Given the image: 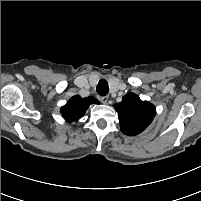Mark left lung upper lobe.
<instances>
[{"label": "left lung upper lobe", "instance_id": "left-lung-upper-lobe-1", "mask_svg": "<svg viewBox=\"0 0 201 201\" xmlns=\"http://www.w3.org/2000/svg\"><path fill=\"white\" fill-rule=\"evenodd\" d=\"M121 131L125 135L134 136L144 131L156 114L153 104L142 101L134 93H128L120 103L115 105Z\"/></svg>", "mask_w": 201, "mask_h": 201}]
</instances>
